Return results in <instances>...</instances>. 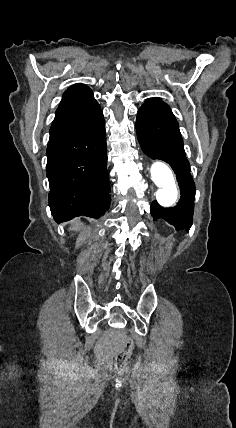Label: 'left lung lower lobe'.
<instances>
[{
    "instance_id": "1",
    "label": "left lung lower lobe",
    "mask_w": 236,
    "mask_h": 428,
    "mask_svg": "<svg viewBox=\"0 0 236 428\" xmlns=\"http://www.w3.org/2000/svg\"><path fill=\"white\" fill-rule=\"evenodd\" d=\"M137 137L145 154L168 163L176 174L181 198L173 208L151 204L154 220L165 219L176 230H189L193 224L195 184L185 156L179 125L170 107L163 101L147 100L136 119Z\"/></svg>"
}]
</instances>
